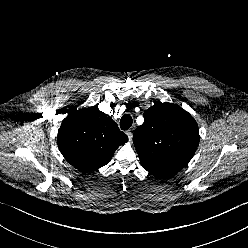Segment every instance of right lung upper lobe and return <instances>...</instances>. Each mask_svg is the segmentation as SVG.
Instances as JSON below:
<instances>
[{
	"label": "right lung upper lobe",
	"mask_w": 248,
	"mask_h": 248,
	"mask_svg": "<svg viewBox=\"0 0 248 248\" xmlns=\"http://www.w3.org/2000/svg\"><path fill=\"white\" fill-rule=\"evenodd\" d=\"M128 141L112 118L96 106L70 113L58 132L62 155L82 171H94L106 165L115 150Z\"/></svg>",
	"instance_id": "right-lung-upper-lobe-1"
}]
</instances>
